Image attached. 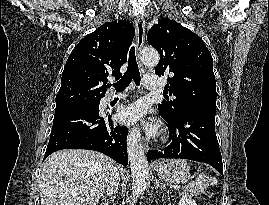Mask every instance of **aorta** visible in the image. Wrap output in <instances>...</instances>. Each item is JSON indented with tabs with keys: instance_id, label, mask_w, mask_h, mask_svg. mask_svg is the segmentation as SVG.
<instances>
[{
	"instance_id": "1",
	"label": "aorta",
	"mask_w": 269,
	"mask_h": 205,
	"mask_svg": "<svg viewBox=\"0 0 269 205\" xmlns=\"http://www.w3.org/2000/svg\"><path fill=\"white\" fill-rule=\"evenodd\" d=\"M140 58L144 64L156 66L160 56L155 49L146 48L142 50ZM127 149L132 175V194L136 196L143 193L149 179L148 162L137 128H133L128 134Z\"/></svg>"
}]
</instances>
